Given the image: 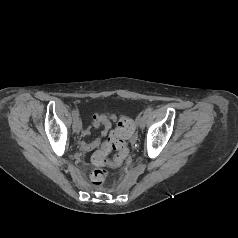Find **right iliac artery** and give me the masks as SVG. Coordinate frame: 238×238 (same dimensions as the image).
Returning a JSON list of instances; mask_svg holds the SVG:
<instances>
[{
  "instance_id": "1",
  "label": "right iliac artery",
  "mask_w": 238,
  "mask_h": 238,
  "mask_svg": "<svg viewBox=\"0 0 238 238\" xmlns=\"http://www.w3.org/2000/svg\"><path fill=\"white\" fill-rule=\"evenodd\" d=\"M72 116H73V118H78V117H79V112L74 109V110L72 111Z\"/></svg>"
}]
</instances>
